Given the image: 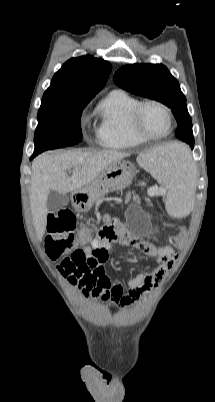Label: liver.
I'll use <instances>...</instances> for the list:
<instances>
[{
    "instance_id": "liver-1",
    "label": "liver",
    "mask_w": 215,
    "mask_h": 402,
    "mask_svg": "<svg viewBox=\"0 0 215 402\" xmlns=\"http://www.w3.org/2000/svg\"><path fill=\"white\" fill-rule=\"evenodd\" d=\"M128 154L107 150L100 152L68 151L58 154H42L32 163L30 184V208L39 240L47 226V198L51 190L67 194L94 181L115 162ZM72 170V175H67Z\"/></svg>"
}]
</instances>
